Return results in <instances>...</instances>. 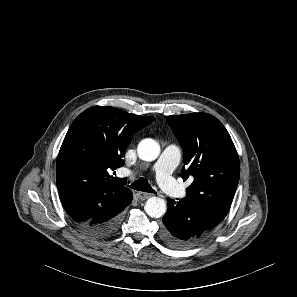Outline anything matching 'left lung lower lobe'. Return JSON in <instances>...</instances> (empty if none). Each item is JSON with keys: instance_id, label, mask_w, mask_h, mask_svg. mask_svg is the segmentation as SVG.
Listing matches in <instances>:
<instances>
[{"instance_id": "left-lung-lower-lobe-1", "label": "left lung lower lobe", "mask_w": 297, "mask_h": 297, "mask_svg": "<svg viewBox=\"0 0 297 297\" xmlns=\"http://www.w3.org/2000/svg\"><path fill=\"white\" fill-rule=\"evenodd\" d=\"M168 210L162 221V238L170 246L175 248H188L195 245L212 231L222 220L223 217H217L210 224L206 232L199 233L192 227L193 219L196 218L195 211L190 208L183 199L174 201L167 198Z\"/></svg>"}]
</instances>
